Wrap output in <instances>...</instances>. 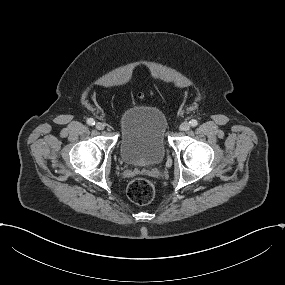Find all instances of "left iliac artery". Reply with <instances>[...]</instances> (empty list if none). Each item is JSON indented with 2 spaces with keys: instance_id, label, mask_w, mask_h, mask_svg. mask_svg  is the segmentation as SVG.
I'll use <instances>...</instances> for the list:
<instances>
[{
  "instance_id": "44dca946",
  "label": "left iliac artery",
  "mask_w": 285,
  "mask_h": 285,
  "mask_svg": "<svg viewBox=\"0 0 285 285\" xmlns=\"http://www.w3.org/2000/svg\"><path fill=\"white\" fill-rule=\"evenodd\" d=\"M189 123H190V125H191L192 127H195V126L198 125V121L195 120V119H192Z\"/></svg>"
}]
</instances>
